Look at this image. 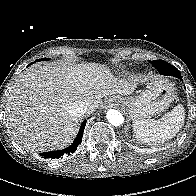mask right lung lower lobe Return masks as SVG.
<instances>
[{
  "label": "right lung lower lobe",
  "instance_id": "obj_1",
  "mask_svg": "<svg viewBox=\"0 0 196 196\" xmlns=\"http://www.w3.org/2000/svg\"><path fill=\"white\" fill-rule=\"evenodd\" d=\"M85 125H86V120L82 122L80 130L77 134V137L73 141L72 145H70L68 148L58 150V151L40 153V156L45 157V158L58 159V158L63 157L66 154L74 153L77 150V147L82 142V136H83Z\"/></svg>",
  "mask_w": 196,
  "mask_h": 196
}]
</instances>
